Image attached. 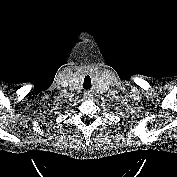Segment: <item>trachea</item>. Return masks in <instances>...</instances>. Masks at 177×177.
Instances as JSON below:
<instances>
[{
    "instance_id": "obj_1",
    "label": "trachea",
    "mask_w": 177,
    "mask_h": 177,
    "mask_svg": "<svg viewBox=\"0 0 177 177\" xmlns=\"http://www.w3.org/2000/svg\"><path fill=\"white\" fill-rule=\"evenodd\" d=\"M86 78L90 79V76H86L84 79V82H85ZM90 81H91V79H90ZM88 88H90V86H88Z\"/></svg>"
}]
</instances>
